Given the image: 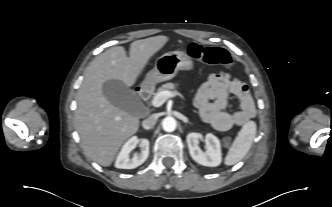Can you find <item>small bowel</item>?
Masks as SVG:
<instances>
[{"instance_id":"c3829d8e","label":"small bowel","mask_w":332,"mask_h":207,"mask_svg":"<svg viewBox=\"0 0 332 207\" xmlns=\"http://www.w3.org/2000/svg\"><path fill=\"white\" fill-rule=\"evenodd\" d=\"M229 94L235 95L240 102L239 110L234 113L225 111ZM194 104L202 119L220 132L242 125L255 115V105L246 83L224 72L209 75L195 95Z\"/></svg>"}]
</instances>
